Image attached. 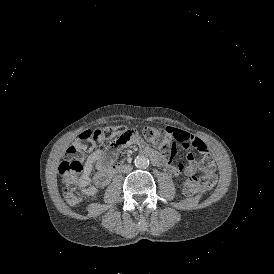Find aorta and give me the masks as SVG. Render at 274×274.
<instances>
[{"instance_id": "obj_1", "label": "aorta", "mask_w": 274, "mask_h": 274, "mask_svg": "<svg viewBox=\"0 0 274 274\" xmlns=\"http://www.w3.org/2000/svg\"><path fill=\"white\" fill-rule=\"evenodd\" d=\"M134 164L137 168H146L149 165V160L145 156H137L134 160Z\"/></svg>"}]
</instances>
